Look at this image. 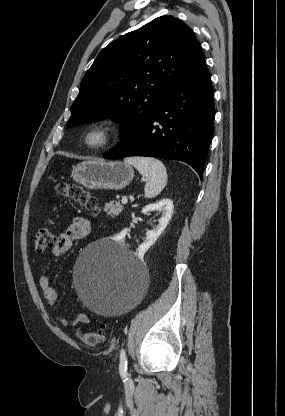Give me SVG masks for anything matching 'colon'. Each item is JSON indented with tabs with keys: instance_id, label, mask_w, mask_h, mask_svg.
<instances>
[{
	"instance_id": "5ec220e1",
	"label": "colon",
	"mask_w": 285,
	"mask_h": 416,
	"mask_svg": "<svg viewBox=\"0 0 285 416\" xmlns=\"http://www.w3.org/2000/svg\"><path fill=\"white\" fill-rule=\"evenodd\" d=\"M59 194L77 202L80 206L97 214L99 211L97 200L82 187L72 183H62L58 188ZM54 244V235L49 229L43 228L33 236V245L37 253H42ZM106 327L101 326L92 332L78 331L77 337L88 346H99L105 340Z\"/></svg>"
}]
</instances>
